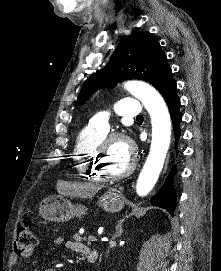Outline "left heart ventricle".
Returning <instances> with one entry per match:
<instances>
[{
	"label": "left heart ventricle",
	"instance_id": "obj_1",
	"mask_svg": "<svg viewBox=\"0 0 221 271\" xmlns=\"http://www.w3.org/2000/svg\"><path fill=\"white\" fill-rule=\"evenodd\" d=\"M129 153L130 152H124V156H102L103 164H105L107 168V174L123 175L124 168H128V164L133 163V160L127 157Z\"/></svg>",
	"mask_w": 221,
	"mask_h": 271
}]
</instances>
